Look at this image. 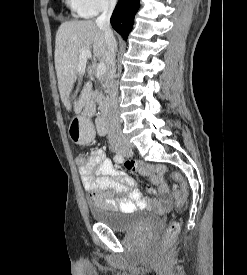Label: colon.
<instances>
[{
  "mask_svg": "<svg viewBox=\"0 0 247 275\" xmlns=\"http://www.w3.org/2000/svg\"><path fill=\"white\" fill-rule=\"evenodd\" d=\"M78 161L82 163L83 158L79 156ZM136 165L137 163L134 161H128L125 164L126 168L129 170L135 169ZM170 177L172 180L179 183V185L173 186L172 193L176 199L177 207L182 208L186 204L187 197H188L187 183L182 177V175L179 174L178 172H172L170 174ZM179 231H180V223L177 221L171 222L162 235V239H161L162 246L164 248L169 247L171 243L174 241V239L176 238V236L178 235Z\"/></svg>",
  "mask_w": 247,
  "mask_h": 275,
  "instance_id": "colon-1",
  "label": "colon"
}]
</instances>
